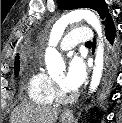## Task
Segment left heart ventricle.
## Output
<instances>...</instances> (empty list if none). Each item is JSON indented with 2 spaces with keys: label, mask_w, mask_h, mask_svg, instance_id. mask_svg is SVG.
I'll use <instances>...</instances> for the list:
<instances>
[{
  "label": "left heart ventricle",
  "mask_w": 122,
  "mask_h": 123,
  "mask_svg": "<svg viewBox=\"0 0 122 123\" xmlns=\"http://www.w3.org/2000/svg\"><path fill=\"white\" fill-rule=\"evenodd\" d=\"M63 78H64V75L61 74V75L56 76L54 80H56L66 91L69 92V90L66 89V88L63 86V84H62Z\"/></svg>",
  "instance_id": "obj_1"
}]
</instances>
